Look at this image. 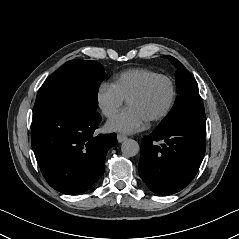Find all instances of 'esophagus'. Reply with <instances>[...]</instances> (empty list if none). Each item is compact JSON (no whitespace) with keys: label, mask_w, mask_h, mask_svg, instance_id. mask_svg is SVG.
<instances>
[{"label":"esophagus","mask_w":239,"mask_h":239,"mask_svg":"<svg viewBox=\"0 0 239 239\" xmlns=\"http://www.w3.org/2000/svg\"><path fill=\"white\" fill-rule=\"evenodd\" d=\"M126 139H127L126 135H123V134H118L117 135V140H118L119 143L123 142Z\"/></svg>","instance_id":"obj_1"}]
</instances>
